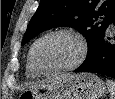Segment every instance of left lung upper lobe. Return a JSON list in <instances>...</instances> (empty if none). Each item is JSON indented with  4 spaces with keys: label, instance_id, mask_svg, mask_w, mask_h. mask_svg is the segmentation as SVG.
I'll return each mask as SVG.
<instances>
[{
    "label": "left lung upper lobe",
    "instance_id": "5c2ea615",
    "mask_svg": "<svg viewBox=\"0 0 115 99\" xmlns=\"http://www.w3.org/2000/svg\"><path fill=\"white\" fill-rule=\"evenodd\" d=\"M102 15L106 16L104 21L97 22ZM114 16L115 0H41L22 45L47 29L68 26L86 38L88 56L101 42Z\"/></svg>",
    "mask_w": 115,
    "mask_h": 99
}]
</instances>
